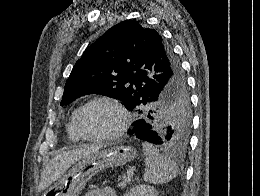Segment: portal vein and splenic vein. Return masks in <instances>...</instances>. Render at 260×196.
I'll use <instances>...</instances> for the list:
<instances>
[{"label":"portal vein and splenic vein","mask_w":260,"mask_h":196,"mask_svg":"<svg viewBox=\"0 0 260 196\" xmlns=\"http://www.w3.org/2000/svg\"><path fill=\"white\" fill-rule=\"evenodd\" d=\"M127 176H128V178H132V176H133V170H128Z\"/></svg>","instance_id":"18ae733b"}]
</instances>
